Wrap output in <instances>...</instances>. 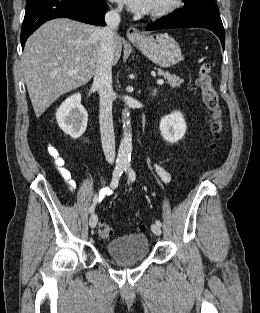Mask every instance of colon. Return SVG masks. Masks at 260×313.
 I'll return each mask as SVG.
<instances>
[{
	"instance_id": "colon-1",
	"label": "colon",
	"mask_w": 260,
	"mask_h": 313,
	"mask_svg": "<svg viewBox=\"0 0 260 313\" xmlns=\"http://www.w3.org/2000/svg\"><path fill=\"white\" fill-rule=\"evenodd\" d=\"M210 70L211 67L209 63H202L196 76V84L201 90L205 106L211 113V132L213 137L215 140H219L224 131V123L219 95L213 85ZM98 233L103 239H110L113 236L112 228L104 222L99 224Z\"/></svg>"
}]
</instances>
